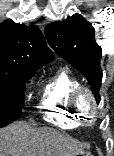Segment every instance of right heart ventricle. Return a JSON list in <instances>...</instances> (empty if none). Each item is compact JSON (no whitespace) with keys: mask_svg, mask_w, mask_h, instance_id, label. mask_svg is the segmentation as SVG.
Masks as SVG:
<instances>
[{"mask_svg":"<svg viewBox=\"0 0 114 156\" xmlns=\"http://www.w3.org/2000/svg\"><path fill=\"white\" fill-rule=\"evenodd\" d=\"M80 86L66 68H60L43 85L38 108L49 122L61 128H75L78 118L69 104L71 93Z\"/></svg>","mask_w":114,"mask_h":156,"instance_id":"right-heart-ventricle-1","label":"right heart ventricle"}]
</instances>
